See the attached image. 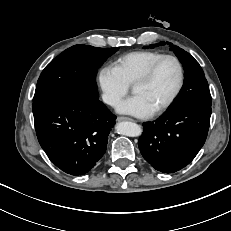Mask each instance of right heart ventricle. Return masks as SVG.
I'll use <instances>...</instances> for the list:
<instances>
[{
	"label": "right heart ventricle",
	"instance_id": "e07e8e85",
	"mask_svg": "<svg viewBox=\"0 0 231 231\" xmlns=\"http://www.w3.org/2000/svg\"><path fill=\"white\" fill-rule=\"evenodd\" d=\"M162 55L156 51H133L117 58L113 67L123 80L131 85L153 61Z\"/></svg>",
	"mask_w": 231,
	"mask_h": 231
}]
</instances>
